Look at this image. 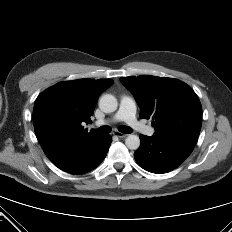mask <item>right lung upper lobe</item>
<instances>
[{
  "mask_svg": "<svg viewBox=\"0 0 232 232\" xmlns=\"http://www.w3.org/2000/svg\"><path fill=\"white\" fill-rule=\"evenodd\" d=\"M113 84L111 79L64 81L46 89L36 99L33 122L36 137L48 158L85 145L97 136L83 129L100 94Z\"/></svg>",
  "mask_w": 232,
  "mask_h": 232,
  "instance_id": "1",
  "label": "right lung upper lobe"
}]
</instances>
